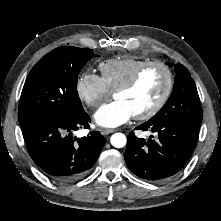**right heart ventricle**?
Wrapping results in <instances>:
<instances>
[{
	"mask_svg": "<svg viewBox=\"0 0 221 221\" xmlns=\"http://www.w3.org/2000/svg\"><path fill=\"white\" fill-rule=\"evenodd\" d=\"M147 60L136 57L109 59L98 66L101 79L108 90L113 91L125 82Z\"/></svg>",
	"mask_w": 221,
	"mask_h": 221,
	"instance_id": "e07e8e85",
	"label": "right heart ventricle"
}]
</instances>
